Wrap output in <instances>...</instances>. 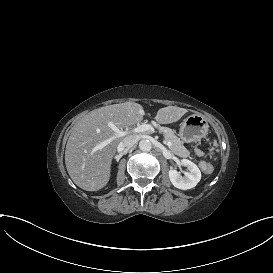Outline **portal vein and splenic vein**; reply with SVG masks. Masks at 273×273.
I'll use <instances>...</instances> for the list:
<instances>
[{
    "instance_id": "18ae733b",
    "label": "portal vein and splenic vein",
    "mask_w": 273,
    "mask_h": 273,
    "mask_svg": "<svg viewBox=\"0 0 273 273\" xmlns=\"http://www.w3.org/2000/svg\"><path fill=\"white\" fill-rule=\"evenodd\" d=\"M110 127L114 131V135H112L111 137L107 138L106 140L100 142L99 145L96 147V149H102L103 147L111 144L114 140H116L118 138H121V137L128 136L131 133H140V132H144V131H146V130L149 129V126L145 125V124L140 125V126L134 128L132 131L131 130H120L114 124H112ZM162 142L165 145H169V146L172 144V141L171 140H167L166 138H163Z\"/></svg>"
}]
</instances>
